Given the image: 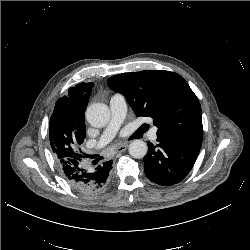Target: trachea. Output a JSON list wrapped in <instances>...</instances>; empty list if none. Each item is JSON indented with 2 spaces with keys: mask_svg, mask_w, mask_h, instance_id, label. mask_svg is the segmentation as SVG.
<instances>
[{
  "mask_svg": "<svg viewBox=\"0 0 250 250\" xmlns=\"http://www.w3.org/2000/svg\"><path fill=\"white\" fill-rule=\"evenodd\" d=\"M149 128L147 124L143 125V130L146 131Z\"/></svg>",
  "mask_w": 250,
  "mask_h": 250,
  "instance_id": "1",
  "label": "trachea"
}]
</instances>
